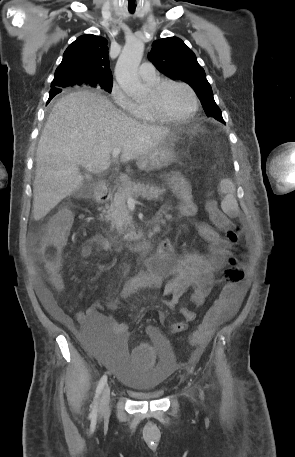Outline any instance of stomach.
<instances>
[{
    "label": "stomach",
    "instance_id": "obj_1",
    "mask_svg": "<svg viewBox=\"0 0 295 457\" xmlns=\"http://www.w3.org/2000/svg\"><path fill=\"white\" fill-rule=\"evenodd\" d=\"M176 137L172 132L155 149L137 161L139 169L152 171L168 166L178 160L176 152Z\"/></svg>",
    "mask_w": 295,
    "mask_h": 457
}]
</instances>
